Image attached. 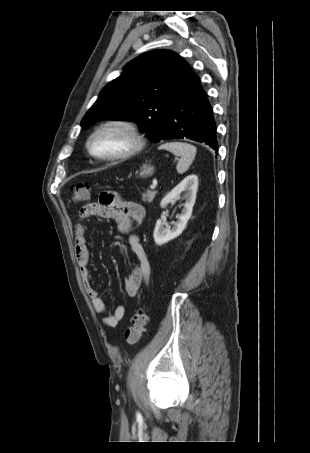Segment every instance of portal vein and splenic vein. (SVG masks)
Segmentation results:
<instances>
[{
	"label": "portal vein and splenic vein",
	"instance_id": "1",
	"mask_svg": "<svg viewBox=\"0 0 310 453\" xmlns=\"http://www.w3.org/2000/svg\"><path fill=\"white\" fill-rule=\"evenodd\" d=\"M156 186H157V181L154 180L153 183L151 184L150 188H151L152 190H154V189L156 188Z\"/></svg>",
	"mask_w": 310,
	"mask_h": 453
}]
</instances>
